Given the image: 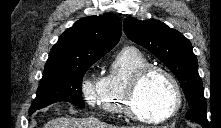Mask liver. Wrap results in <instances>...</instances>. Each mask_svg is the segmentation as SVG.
Segmentation results:
<instances>
[{
	"instance_id": "obj_1",
	"label": "liver",
	"mask_w": 221,
	"mask_h": 128,
	"mask_svg": "<svg viewBox=\"0 0 221 128\" xmlns=\"http://www.w3.org/2000/svg\"><path fill=\"white\" fill-rule=\"evenodd\" d=\"M44 128H115L111 125L101 122L97 118L91 116L86 118H67L58 117L50 120ZM143 128V127H132Z\"/></svg>"
}]
</instances>
